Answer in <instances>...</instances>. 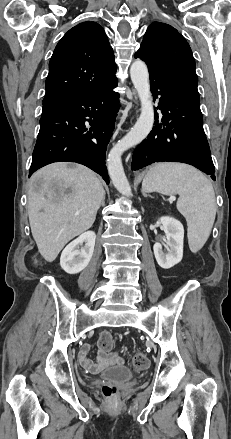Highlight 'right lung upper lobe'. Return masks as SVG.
<instances>
[{
  "instance_id": "cb5924a9",
  "label": "right lung upper lobe",
  "mask_w": 231,
  "mask_h": 439,
  "mask_svg": "<svg viewBox=\"0 0 231 439\" xmlns=\"http://www.w3.org/2000/svg\"><path fill=\"white\" fill-rule=\"evenodd\" d=\"M116 64L103 28L87 21L70 29L57 44L49 63L42 115L106 87Z\"/></svg>"
}]
</instances>
